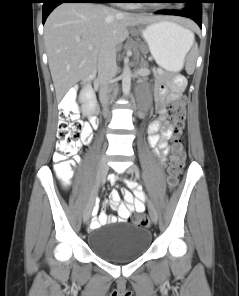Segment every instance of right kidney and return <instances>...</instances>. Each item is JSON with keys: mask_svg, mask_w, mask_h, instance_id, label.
<instances>
[{"mask_svg": "<svg viewBox=\"0 0 239 296\" xmlns=\"http://www.w3.org/2000/svg\"><path fill=\"white\" fill-rule=\"evenodd\" d=\"M79 101L82 104L83 115H90L96 107V95L91 85H87L81 91Z\"/></svg>", "mask_w": 239, "mask_h": 296, "instance_id": "1", "label": "right kidney"}]
</instances>
